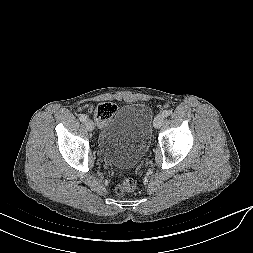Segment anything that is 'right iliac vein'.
Segmentation results:
<instances>
[{
	"mask_svg": "<svg viewBox=\"0 0 253 253\" xmlns=\"http://www.w3.org/2000/svg\"><path fill=\"white\" fill-rule=\"evenodd\" d=\"M85 126L88 131H93L94 130V123L91 120H86Z\"/></svg>",
	"mask_w": 253,
	"mask_h": 253,
	"instance_id": "obj_1",
	"label": "right iliac vein"
}]
</instances>
